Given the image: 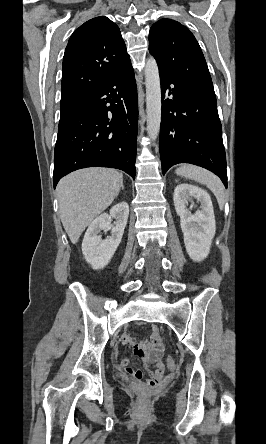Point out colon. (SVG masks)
I'll use <instances>...</instances> for the list:
<instances>
[{"label":"colon","instance_id":"colon-1","mask_svg":"<svg viewBox=\"0 0 266 444\" xmlns=\"http://www.w3.org/2000/svg\"><path fill=\"white\" fill-rule=\"evenodd\" d=\"M167 366L170 370H174L176 368V362L172 357L167 358ZM148 402V395L143 393L139 396V403L146 404Z\"/></svg>","mask_w":266,"mask_h":444}]
</instances>
